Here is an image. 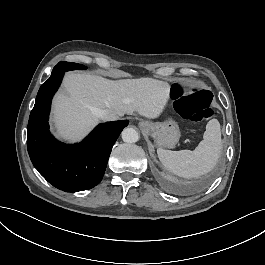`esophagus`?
<instances>
[{"label":"esophagus","mask_w":265,"mask_h":265,"mask_svg":"<svg viewBox=\"0 0 265 265\" xmlns=\"http://www.w3.org/2000/svg\"><path fill=\"white\" fill-rule=\"evenodd\" d=\"M140 124H143V126L146 127L145 123L141 122Z\"/></svg>","instance_id":"obj_1"}]
</instances>
